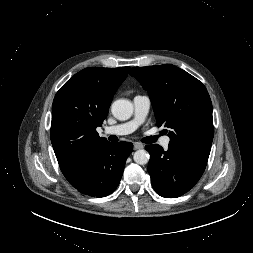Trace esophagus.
Masks as SVG:
<instances>
[{
    "instance_id": "esophagus-1",
    "label": "esophagus",
    "mask_w": 253,
    "mask_h": 253,
    "mask_svg": "<svg viewBox=\"0 0 253 253\" xmlns=\"http://www.w3.org/2000/svg\"><path fill=\"white\" fill-rule=\"evenodd\" d=\"M143 147H144V145L139 143V142L134 143V149L135 150L142 149Z\"/></svg>"
}]
</instances>
